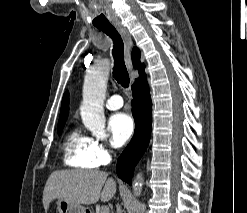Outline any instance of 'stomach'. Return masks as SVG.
I'll list each match as a JSON object with an SVG mask.
<instances>
[{
  "instance_id": "obj_1",
  "label": "stomach",
  "mask_w": 247,
  "mask_h": 213,
  "mask_svg": "<svg viewBox=\"0 0 247 213\" xmlns=\"http://www.w3.org/2000/svg\"><path fill=\"white\" fill-rule=\"evenodd\" d=\"M57 210L59 213H88V209L81 204L58 199Z\"/></svg>"
}]
</instances>
